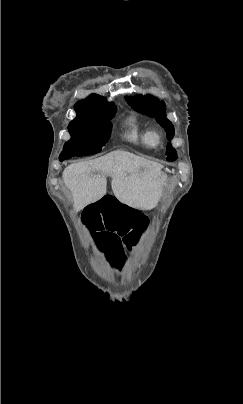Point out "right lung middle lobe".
<instances>
[{"label":"right lung middle lobe","mask_w":243,"mask_h":404,"mask_svg":"<svg viewBox=\"0 0 243 404\" xmlns=\"http://www.w3.org/2000/svg\"><path fill=\"white\" fill-rule=\"evenodd\" d=\"M116 108L92 114L76 116L68 126L71 140L65 143L59 160L72 157L87 156L101 151L108 141Z\"/></svg>","instance_id":"dd1d6c3e"}]
</instances>
